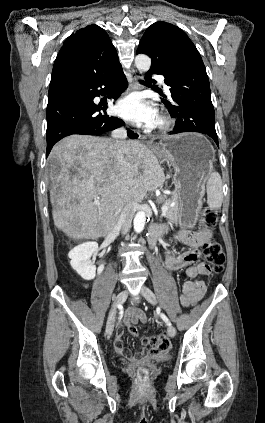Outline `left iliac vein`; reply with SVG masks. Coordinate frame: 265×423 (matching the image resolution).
Wrapping results in <instances>:
<instances>
[{"label": "left iliac vein", "mask_w": 265, "mask_h": 423, "mask_svg": "<svg viewBox=\"0 0 265 423\" xmlns=\"http://www.w3.org/2000/svg\"><path fill=\"white\" fill-rule=\"evenodd\" d=\"M141 294L150 304H152V305L157 304V298H156L155 294L148 287L143 286L142 289H141ZM167 332H168V335L170 337H174L176 335V330L172 325H168Z\"/></svg>", "instance_id": "1"}]
</instances>
